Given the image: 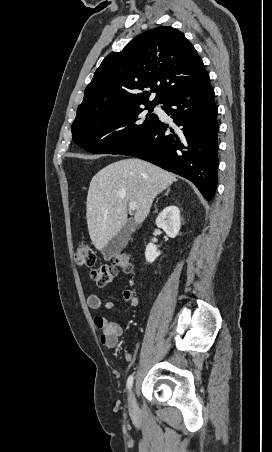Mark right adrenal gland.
Returning a JSON list of instances; mask_svg holds the SVG:
<instances>
[{
  "label": "right adrenal gland",
  "mask_w": 272,
  "mask_h": 452,
  "mask_svg": "<svg viewBox=\"0 0 272 452\" xmlns=\"http://www.w3.org/2000/svg\"><path fill=\"white\" fill-rule=\"evenodd\" d=\"M169 191H170V189L168 188V189H167V192L165 193V195H168Z\"/></svg>",
  "instance_id": "obj_1"
}]
</instances>
